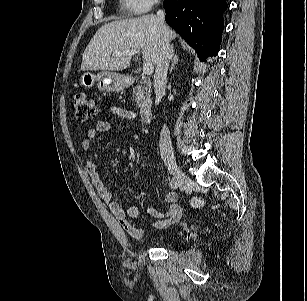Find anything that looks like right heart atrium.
I'll return each mask as SVG.
<instances>
[{
	"label": "right heart atrium",
	"mask_w": 307,
	"mask_h": 301,
	"mask_svg": "<svg viewBox=\"0 0 307 301\" xmlns=\"http://www.w3.org/2000/svg\"><path fill=\"white\" fill-rule=\"evenodd\" d=\"M159 0H123L127 9L133 13L141 14L149 11L158 4Z\"/></svg>",
	"instance_id": "d8ad5b80"
}]
</instances>
